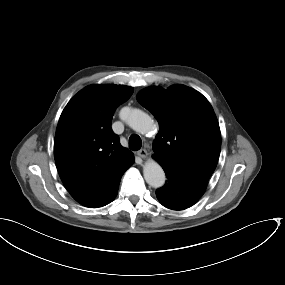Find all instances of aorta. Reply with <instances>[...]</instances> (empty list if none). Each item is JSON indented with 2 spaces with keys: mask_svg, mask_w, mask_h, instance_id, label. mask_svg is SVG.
Returning <instances> with one entry per match:
<instances>
[{
  "mask_svg": "<svg viewBox=\"0 0 285 285\" xmlns=\"http://www.w3.org/2000/svg\"><path fill=\"white\" fill-rule=\"evenodd\" d=\"M120 118L133 130L147 134L154 130L153 119L140 109L124 107L120 111ZM146 182L154 187H162L165 183V173L162 167L154 160H148L143 167Z\"/></svg>",
  "mask_w": 285,
  "mask_h": 285,
  "instance_id": "aorta-1",
  "label": "aorta"
}]
</instances>
